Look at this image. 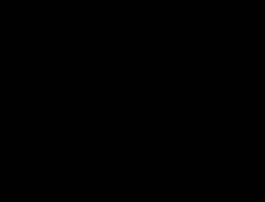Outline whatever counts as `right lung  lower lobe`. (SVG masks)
Returning <instances> with one entry per match:
<instances>
[{
	"label": "right lung lower lobe",
	"instance_id": "1",
	"mask_svg": "<svg viewBox=\"0 0 265 202\" xmlns=\"http://www.w3.org/2000/svg\"><path fill=\"white\" fill-rule=\"evenodd\" d=\"M77 97L80 125L75 133L53 130L56 143L64 144L83 159L103 155L110 147L118 125L132 112L131 105L122 98L120 83L112 79H89L79 83H66L52 96L56 119L67 121V107Z\"/></svg>",
	"mask_w": 265,
	"mask_h": 202
}]
</instances>
